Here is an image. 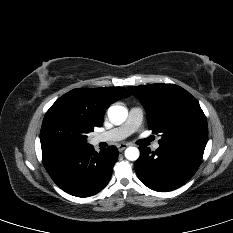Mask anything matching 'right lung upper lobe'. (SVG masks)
Returning a JSON list of instances; mask_svg holds the SVG:
<instances>
[{
    "label": "right lung upper lobe",
    "mask_w": 233,
    "mask_h": 233,
    "mask_svg": "<svg viewBox=\"0 0 233 233\" xmlns=\"http://www.w3.org/2000/svg\"><path fill=\"white\" fill-rule=\"evenodd\" d=\"M123 87L110 88H76L60 97L67 107L93 126L103 124V116L108 106L115 101L130 96Z\"/></svg>",
    "instance_id": "1"
}]
</instances>
